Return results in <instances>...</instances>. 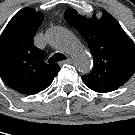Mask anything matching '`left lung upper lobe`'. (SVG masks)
Instances as JSON below:
<instances>
[{"label": "left lung upper lobe", "mask_w": 135, "mask_h": 135, "mask_svg": "<svg viewBox=\"0 0 135 135\" xmlns=\"http://www.w3.org/2000/svg\"><path fill=\"white\" fill-rule=\"evenodd\" d=\"M65 19L84 37L94 58V68L82 80L97 92H111L124 85L135 72V44L119 23L104 11L100 19H87L69 9Z\"/></svg>", "instance_id": "5c2ea615"}]
</instances>
